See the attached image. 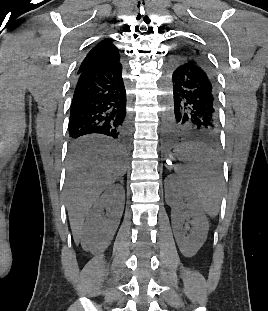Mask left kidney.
Wrapping results in <instances>:
<instances>
[{"label":"left kidney","mask_w":268,"mask_h":311,"mask_svg":"<svg viewBox=\"0 0 268 311\" xmlns=\"http://www.w3.org/2000/svg\"><path fill=\"white\" fill-rule=\"evenodd\" d=\"M165 198L172 210L171 222L177 245L184 256L192 257L206 241L209 228L196 193L189 182L169 175L165 181ZM187 230H190L189 235H186Z\"/></svg>","instance_id":"left-kidney-1"}]
</instances>
